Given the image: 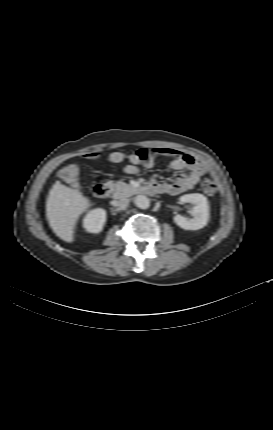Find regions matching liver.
<instances>
[{"mask_svg": "<svg viewBox=\"0 0 273 430\" xmlns=\"http://www.w3.org/2000/svg\"><path fill=\"white\" fill-rule=\"evenodd\" d=\"M90 206V200L82 192L56 181L46 202L49 225L60 239L71 243L77 221Z\"/></svg>", "mask_w": 273, "mask_h": 430, "instance_id": "6515ba94", "label": "liver"}]
</instances>
